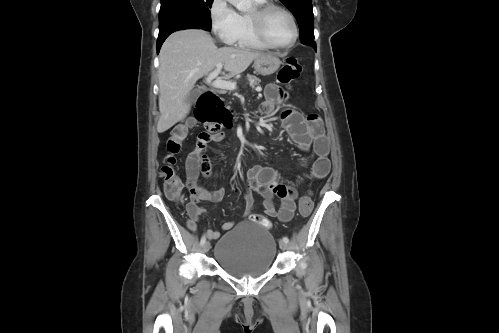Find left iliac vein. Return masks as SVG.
I'll return each instance as SVG.
<instances>
[{
	"label": "left iliac vein",
	"instance_id": "1",
	"mask_svg": "<svg viewBox=\"0 0 499 333\" xmlns=\"http://www.w3.org/2000/svg\"><path fill=\"white\" fill-rule=\"evenodd\" d=\"M279 247L282 249V250H286L288 248V245L286 242H284L283 240H280L279 241Z\"/></svg>",
	"mask_w": 499,
	"mask_h": 333
}]
</instances>
